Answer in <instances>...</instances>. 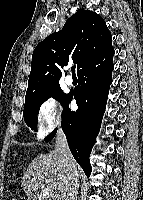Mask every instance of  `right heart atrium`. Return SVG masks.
Segmentation results:
<instances>
[{
	"label": "right heart atrium",
	"mask_w": 143,
	"mask_h": 200,
	"mask_svg": "<svg viewBox=\"0 0 143 200\" xmlns=\"http://www.w3.org/2000/svg\"><path fill=\"white\" fill-rule=\"evenodd\" d=\"M37 134L40 138L49 136L61 125V113L57 100L54 96L45 97L38 105L37 112Z\"/></svg>",
	"instance_id": "d8ad5b80"
}]
</instances>
